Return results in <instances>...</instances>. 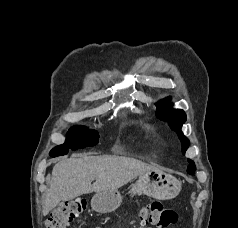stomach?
I'll return each mask as SVG.
<instances>
[{
  "instance_id": "1",
  "label": "stomach",
  "mask_w": 238,
  "mask_h": 228,
  "mask_svg": "<svg viewBox=\"0 0 238 228\" xmlns=\"http://www.w3.org/2000/svg\"><path fill=\"white\" fill-rule=\"evenodd\" d=\"M182 189V183L173 175L160 170L150 171L139 176L131 185V195H147L158 200H169L176 197ZM122 202L118 190L97 192L92 200V208L100 213L115 211Z\"/></svg>"
}]
</instances>
